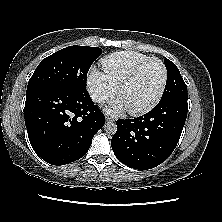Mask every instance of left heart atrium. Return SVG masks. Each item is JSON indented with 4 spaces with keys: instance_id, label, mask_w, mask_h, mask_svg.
Segmentation results:
<instances>
[{
    "instance_id": "obj_1",
    "label": "left heart atrium",
    "mask_w": 222,
    "mask_h": 222,
    "mask_svg": "<svg viewBox=\"0 0 222 222\" xmlns=\"http://www.w3.org/2000/svg\"><path fill=\"white\" fill-rule=\"evenodd\" d=\"M106 111L113 115H118L127 109L126 103L121 96L111 100L106 106Z\"/></svg>"
}]
</instances>
